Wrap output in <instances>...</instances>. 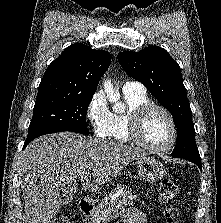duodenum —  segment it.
Segmentation results:
<instances>
[{
  "label": "duodenum",
  "instance_id": "duodenum-1",
  "mask_svg": "<svg viewBox=\"0 0 221 223\" xmlns=\"http://www.w3.org/2000/svg\"><path fill=\"white\" fill-rule=\"evenodd\" d=\"M79 213L82 218L88 217L92 211V201L89 198H81L78 203Z\"/></svg>",
  "mask_w": 221,
  "mask_h": 223
}]
</instances>
